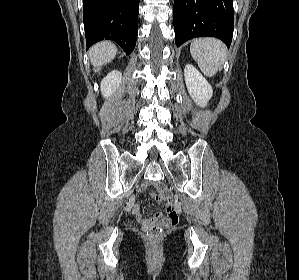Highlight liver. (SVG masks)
<instances>
[{"mask_svg": "<svg viewBox=\"0 0 299 280\" xmlns=\"http://www.w3.org/2000/svg\"><path fill=\"white\" fill-rule=\"evenodd\" d=\"M116 54V46L108 41L97 43L89 50V57L94 67H99L109 63Z\"/></svg>", "mask_w": 299, "mask_h": 280, "instance_id": "1", "label": "liver"}]
</instances>
